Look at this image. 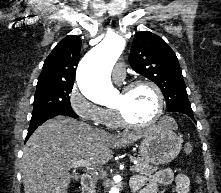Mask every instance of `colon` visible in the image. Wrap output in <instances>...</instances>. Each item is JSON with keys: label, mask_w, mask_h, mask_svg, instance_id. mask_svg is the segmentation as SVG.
Returning a JSON list of instances; mask_svg holds the SVG:
<instances>
[{"label": "colon", "mask_w": 221, "mask_h": 193, "mask_svg": "<svg viewBox=\"0 0 221 193\" xmlns=\"http://www.w3.org/2000/svg\"><path fill=\"white\" fill-rule=\"evenodd\" d=\"M185 151L189 154H191L194 150V147L192 144H186L185 147H184ZM196 180H197V183L200 184L201 183V178L199 175L196 176Z\"/></svg>", "instance_id": "5ec220e1"}]
</instances>
